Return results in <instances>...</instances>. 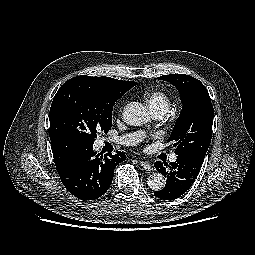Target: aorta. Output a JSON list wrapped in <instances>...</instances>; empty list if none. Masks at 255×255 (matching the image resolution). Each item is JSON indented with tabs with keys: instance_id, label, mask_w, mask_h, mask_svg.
<instances>
[{
	"instance_id": "1",
	"label": "aorta",
	"mask_w": 255,
	"mask_h": 255,
	"mask_svg": "<svg viewBox=\"0 0 255 255\" xmlns=\"http://www.w3.org/2000/svg\"><path fill=\"white\" fill-rule=\"evenodd\" d=\"M123 120L130 126H140L149 120L147 109L139 102L127 104L123 112ZM148 186L154 191H160L165 187L166 179L161 173H152L148 177Z\"/></svg>"
}]
</instances>
